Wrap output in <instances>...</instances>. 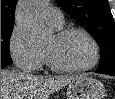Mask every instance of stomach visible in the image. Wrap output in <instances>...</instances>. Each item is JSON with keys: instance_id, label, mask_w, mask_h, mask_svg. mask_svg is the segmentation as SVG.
<instances>
[{"instance_id": "1", "label": "stomach", "mask_w": 115, "mask_h": 99, "mask_svg": "<svg viewBox=\"0 0 115 99\" xmlns=\"http://www.w3.org/2000/svg\"><path fill=\"white\" fill-rule=\"evenodd\" d=\"M67 99H104V85L89 76H79L67 88Z\"/></svg>"}]
</instances>
